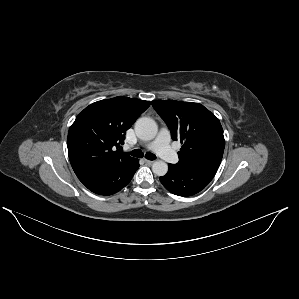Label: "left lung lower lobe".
I'll return each mask as SVG.
<instances>
[{
	"instance_id": "obj_1",
	"label": "left lung lower lobe",
	"mask_w": 299,
	"mask_h": 299,
	"mask_svg": "<svg viewBox=\"0 0 299 299\" xmlns=\"http://www.w3.org/2000/svg\"><path fill=\"white\" fill-rule=\"evenodd\" d=\"M217 170L218 167L210 165L169 164L167 174L160 177V181L168 191L175 195L191 196L205 188Z\"/></svg>"
}]
</instances>
